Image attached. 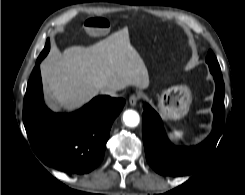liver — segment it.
<instances>
[{
    "mask_svg": "<svg viewBox=\"0 0 245 195\" xmlns=\"http://www.w3.org/2000/svg\"><path fill=\"white\" fill-rule=\"evenodd\" d=\"M47 101L54 109L74 110L102 89H146L149 75L125 27L89 47L53 51L42 63Z\"/></svg>",
    "mask_w": 245,
    "mask_h": 195,
    "instance_id": "liver-1",
    "label": "liver"
}]
</instances>
